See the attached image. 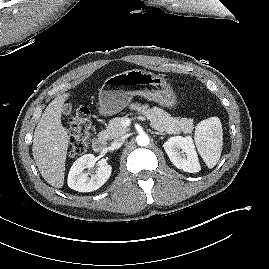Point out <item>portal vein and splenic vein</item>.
<instances>
[{"label":"portal vein and splenic vein","mask_w":269,"mask_h":269,"mask_svg":"<svg viewBox=\"0 0 269 269\" xmlns=\"http://www.w3.org/2000/svg\"><path fill=\"white\" fill-rule=\"evenodd\" d=\"M130 122H131V119L126 118V119L123 121L122 124H123L124 126H129Z\"/></svg>","instance_id":"18ae733b"}]
</instances>
